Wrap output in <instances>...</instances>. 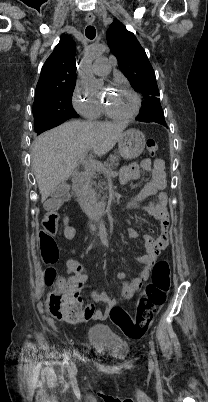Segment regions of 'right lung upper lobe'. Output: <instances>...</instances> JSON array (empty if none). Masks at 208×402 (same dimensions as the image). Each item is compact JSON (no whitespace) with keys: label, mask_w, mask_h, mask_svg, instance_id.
I'll list each match as a JSON object with an SVG mask.
<instances>
[{"label":"right lung upper lobe","mask_w":208,"mask_h":402,"mask_svg":"<svg viewBox=\"0 0 208 402\" xmlns=\"http://www.w3.org/2000/svg\"><path fill=\"white\" fill-rule=\"evenodd\" d=\"M75 43L62 35L58 45L44 63L35 94L50 88L76 82Z\"/></svg>","instance_id":"1"}]
</instances>
